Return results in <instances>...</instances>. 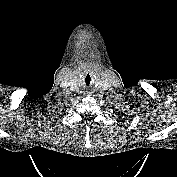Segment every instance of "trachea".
<instances>
[{"label":"trachea","mask_w":177,"mask_h":177,"mask_svg":"<svg viewBox=\"0 0 177 177\" xmlns=\"http://www.w3.org/2000/svg\"><path fill=\"white\" fill-rule=\"evenodd\" d=\"M87 79L89 80V83H90V81H91V77H90L89 74L85 77V81H86Z\"/></svg>","instance_id":"3493384b"}]
</instances>
